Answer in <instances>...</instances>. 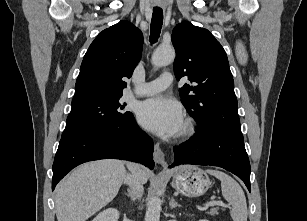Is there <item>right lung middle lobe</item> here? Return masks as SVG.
I'll return each instance as SVG.
<instances>
[{
	"label": "right lung middle lobe",
	"mask_w": 307,
	"mask_h": 221,
	"mask_svg": "<svg viewBox=\"0 0 307 221\" xmlns=\"http://www.w3.org/2000/svg\"><path fill=\"white\" fill-rule=\"evenodd\" d=\"M120 96L91 99L72 103L62 137H68L126 119L131 112L123 111Z\"/></svg>",
	"instance_id": "dd1d6c3e"
}]
</instances>
